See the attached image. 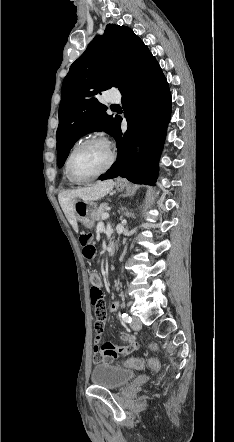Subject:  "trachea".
<instances>
[{
	"label": "trachea",
	"mask_w": 234,
	"mask_h": 442,
	"mask_svg": "<svg viewBox=\"0 0 234 442\" xmlns=\"http://www.w3.org/2000/svg\"><path fill=\"white\" fill-rule=\"evenodd\" d=\"M112 107H119V105H113Z\"/></svg>",
	"instance_id": "trachea-1"
}]
</instances>
